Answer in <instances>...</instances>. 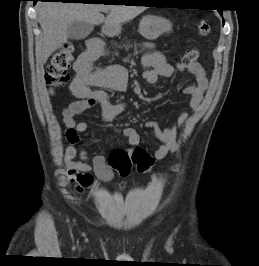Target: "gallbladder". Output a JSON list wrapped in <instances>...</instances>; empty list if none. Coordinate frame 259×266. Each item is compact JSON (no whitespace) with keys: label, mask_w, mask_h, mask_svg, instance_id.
I'll return each instance as SVG.
<instances>
[{"label":"gallbladder","mask_w":259,"mask_h":266,"mask_svg":"<svg viewBox=\"0 0 259 266\" xmlns=\"http://www.w3.org/2000/svg\"><path fill=\"white\" fill-rule=\"evenodd\" d=\"M93 29L94 26L92 24L74 21L67 28V36L73 40H81L89 36Z\"/></svg>","instance_id":"1"}]
</instances>
